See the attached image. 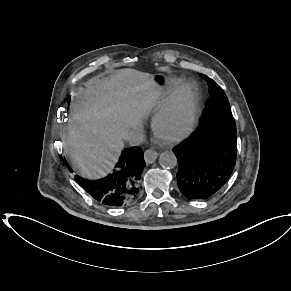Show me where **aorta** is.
<instances>
[{"instance_id":"1","label":"aorta","mask_w":291,"mask_h":291,"mask_svg":"<svg viewBox=\"0 0 291 291\" xmlns=\"http://www.w3.org/2000/svg\"><path fill=\"white\" fill-rule=\"evenodd\" d=\"M159 164L165 169H172L177 165V158L172 151H165L159 156Z\"/></svg>"}]
</instances>
